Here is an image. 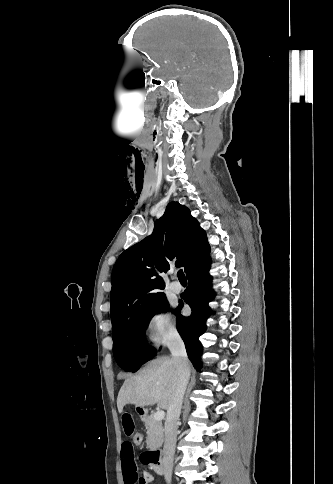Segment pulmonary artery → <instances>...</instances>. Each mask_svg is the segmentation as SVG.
Wrapping results in <instances>:
<instances>
[{
    "instance_id": "e3ab8cb5",
    "label": "pulmonary artery",
    "mask_w": 333,
    "mask_h": 484,
    "mask_svg": "<svg viewBox=\"0 0 333 484\" xmlns=\"http://www.w3.org/2000/svg\"><path fill=\"white\" fill-rule=\"evenodd\" d=\"M170 288L171 290L174 292V293H181L182 290H183V287L181 285V283L177 280L173 281L171 284H170Z\"/></svg>"
}]
</instances>
